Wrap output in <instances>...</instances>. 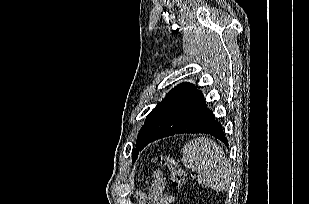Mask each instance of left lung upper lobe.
<instances>
[{
  "instance_id": "5c2ea615",
  "label": "left lung upper lobe",
  "mask_w": 309,
  "mask_h": 204,
  "mask_svg": "<svg viewBox=\"0 0 309 204\" xmlns=\"http://www.w3.org/2000/svg\"><path fill=\"white\" fill-rule=\"evenodd\" d=\"M195 90H196L195 86L190 83H182L180 85H177L167 94L165 100H162V102H160L149 113V115L146 117L144 125L139 131L136 142V148L133 149L132 151L133 160L136 159L138 152L141 150V144L144 137L146 136L150 128L153 126V124L156 122V120L160 117V115L163 114L172 104L184 98L185 96L189 95L190 93L194 92Z\"/></svg>"
}]
</instances>
